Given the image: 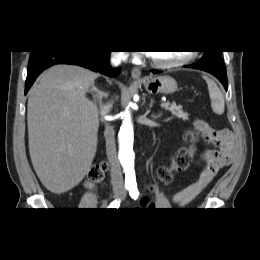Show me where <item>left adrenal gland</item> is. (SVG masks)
Returning <instances> with one entry per match:
<instances>
[{
  "label": "left adrenal gland",
  "mask_w": 260,
  "mask_h": 260,
  "mask_svg": "<svg viewBox=\"0 0 260 260\" xmlns=\"http://www.w3.org/2000/svg\"><path fill=\"white\" fill-rule=\"evenodd\" d=\"M152 105H153V100H151V102H150V105H149V112H150V108L152 107ZM152 117H153V118H158V117H160V115H159V116H155V115H153Z\"/></svg>",
  "instance_id": "a2214340"
}]
</instances>
